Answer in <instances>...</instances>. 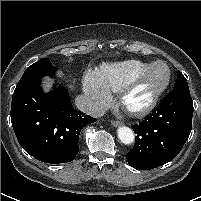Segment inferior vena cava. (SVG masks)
Listing matches in <instances>:
<instances>
[{"label": "inferior vena cava", "mask_w": 201, "mask_h": 201, "mask_svg": "<svg viewBox=\"0 0 201 201\" xmlns=\"http://www.w3.org/2000/svg\"><path fill=\"white\" fill-rule=\"evenodd\" d=\"M75 104L80 111L92 117H101L106 111L102 105L85 95L78 96Z\"/></svg>", "instance_id": "inferior-vena-cava-1"}]
</instances>
